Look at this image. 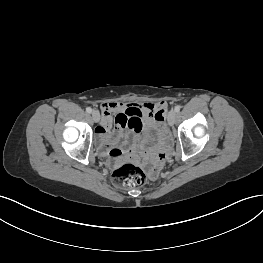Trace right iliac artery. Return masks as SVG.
<instances>
[{
  "label": "right iliac artery",
  "mask_w": 263,
  "mask_h": 263,
  "mask_svg": "<svg viewBox=\"0 0 263 263\" xmlns=\"http://www.w3.org/2000/svg\"><path fill=\"white\" fill-rule=\"evenodd\" d=\"M86 111H87L88 113H92V109H91L90 107H87V108H86Z\"/></svg>",
  "instance_id": "1"
}]
</instances>
